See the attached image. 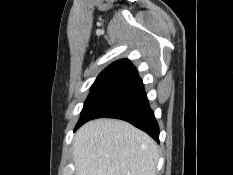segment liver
<instances>
[{
  "mask_svg": "<svg viewBox=\"0 0 233 175\" xmlns=\"http://www.w3.org/2000/svg\"><path fill=\"white\" fill-rule=\"evenodd\" d=\"M157 143L128 122L97 119L73 140L75 175H156Z\"/></svg>",
  "mask_w": 233,
  "mask_h": 175,
  "instance_id": "1",
  "label": "liver"
}]
</instances>
